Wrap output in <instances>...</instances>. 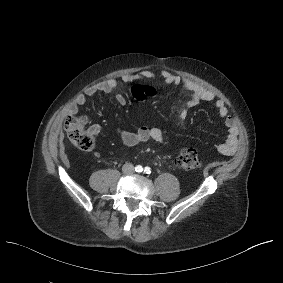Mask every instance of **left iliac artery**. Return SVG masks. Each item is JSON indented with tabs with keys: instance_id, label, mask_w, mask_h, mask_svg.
<instances>
[{
	"instance_id": "left-iliac-artery-1",
	"label": "left iliac artery",
	"mask_w": 283,
	"mask_h": 283,
	"mask_svg": "<svg viewBox=\"0 0 283 283\" xmlns=\"http://www.w3.org/2000/svg\"><path fill=\"white\" fill-rule=\"evenodd\" d=\"M144 172L146 174H150L151 173L150 167H145Z\"/></svg>"
}]
</instances>
